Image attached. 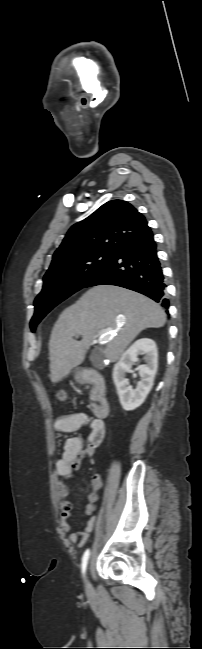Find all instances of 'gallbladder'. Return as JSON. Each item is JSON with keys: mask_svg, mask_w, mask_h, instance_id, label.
I'll return each mask as SVG.
<instances>
[{"mask_svg": "<svg viewBox=\"0 0 202 649\" xmlns=\"http://www.w3.org/2000/svg\"><path fill=\"white\" fill-rule=\"evenodd\" d=\"M97 359H98V355H97L96 353H92V354L90 355V360H91L92 362L95 363Z\"/></svg>", "mask_w": 202, "mask_h": 649, "instance_id": "1", "label": "gallbladder"}]
</instances>
